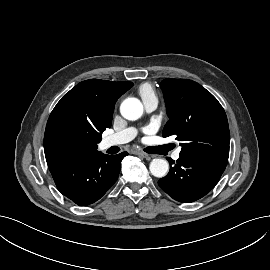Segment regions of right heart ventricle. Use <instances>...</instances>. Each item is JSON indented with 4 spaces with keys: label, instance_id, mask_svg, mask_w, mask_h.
Masks as SVG:
<instances>
[{
    "label": "right heart ventricle",
    "instance_id": "right-heart-ventricle-1",
    "mask_svg": "<svg viewBox=\"0 0 270 270\" xmlns=\"http://www.w3.org/2000/svg\"><path fill=\"white\" fill-rule=\"evenodd\" d=\"M138 92L143 101L150 97H156V93L149 83L141 84L138 88Z\"/></svg>",
    "mask_w": 270,
    "mask_h": 270
}]
</instances>
